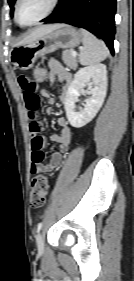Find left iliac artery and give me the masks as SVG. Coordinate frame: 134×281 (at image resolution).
<instances>
[{
	"mask_svg": "<svg viewBox=\"0 0 134 281\" xmlns=\"http://www.w3.org/2000/svg\"><path fill=\"white\" fill-rule=\"evenodd\" d=\"M41 228H42V222H40V223L38 224V226H37V232H39V231L41 230Z\"/></svg>",
	"mask_w": 134,
	"mask_h": 281,
	"instance_id": "1",
	"label": "left iliac artery"
}]
</instances>
